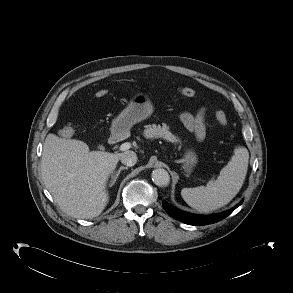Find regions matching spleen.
I'll return each mask as SVG.
<instances>
[{"instance_id": "obj_1", "label": "spleen", "mask_w": 293, "mask_h": 293, "mask_svg": "<svg viewBox=\"0 0 293 293\" xmlns=\"http://www.w3.org/2000/svg\"><path fill=\"white\" fill-rule=\"evenodd\" d=\"M249 152L243 146L234 149V155L223 167L215 181L206 186L183 188L181 195L192 208L208 212L228 204L240 191L248 169Z\"/></svg>"}]
</instances>
